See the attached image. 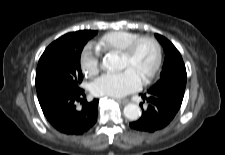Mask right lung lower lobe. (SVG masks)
Masks as SVG:
<instances>
[{"label": "right lung lower lobe", "mask_w": 225, "mask_h": 155, "mask_svg": "<svg viewBox=\"0 0 225 155\" xmlns=\"http://www.w3.org/2000/svg\"><path fill=\"white\" fill-rule=\"evenodd\" d=\"M39 103L51 125L68 135L87 132L97 120L98 99L87 102L82 89L59 91ZM78 103L82 105L80 110L76 109Z\"/></svg>", "instance_id": "1"}]
</instances>
